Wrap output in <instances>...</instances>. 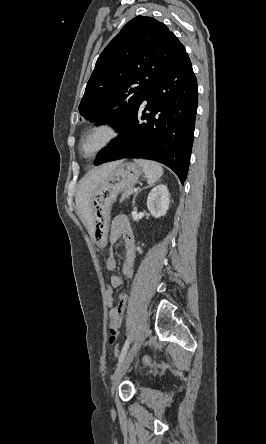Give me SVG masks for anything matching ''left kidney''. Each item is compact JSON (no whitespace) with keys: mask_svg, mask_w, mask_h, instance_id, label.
<instances>
[{"mask_svg":"<svg viewBox=\"0 0 266 444\" xmlns=\"http://www.w3.org/2000/svg\"><path fill=\"white\" fill-rule=\"evenodd\" d=\"M147 207L155 218L166 214L169 209V191L166 185L160 184L150 191L147 199Z\"/></svg>","mask_w":266,"mask_h":444,"instance_id":"5707ae66","label":"left kidney"}]
</instances>
